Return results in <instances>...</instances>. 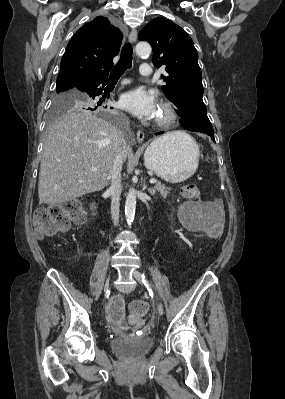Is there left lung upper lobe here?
<instances>
[{"mask_svg": "<svg viewBox=\"0 0 285 399\" xmlns=\"http://www.w3.org/2000/svg\"><path fill=\"white\" fill-rule=\"evenodd\" d=\"M153 49L155 67L165 66L166 85L162 89L177 108L182 126L193 132L214 135L202 100V73L198 53L190 36L178 25L165 18H155L139 33Z\"/></svg>", "mask_w": 285, "mask_h": 399, "instance_id": "left-lung-upper-lobe-1", "label": "left lung upper lobe"}]
</instances>
